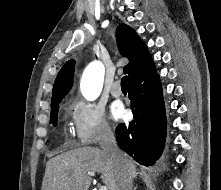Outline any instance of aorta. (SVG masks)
I'll return each instance as SVG.
<instances>
[{
	"label": "aorta",
	"instance_id": "aorta-1",
	"mask_svg": "<svg viewBox=\"0 0 221 190\" xmlns=\"http://www.w3.org/2000/svg\"><path fill=\"white\" fill-rule=\"evenodd\" d=\"M104 71V65L100 61L90 63L85 69L80 89L87 100L93 101L100 95L103 87Z\"/></svg>",
	"mask_w": 221,
	"mask_h": 190
}]
</instances>
